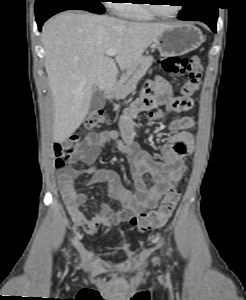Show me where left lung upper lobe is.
I'll use <instances>...</instances> for the list:
<instances>
[{
    "label": "left lung upper lobe",
    "mask_w": 246,
    "mask_h": 300,
    "mask_svg": "<svg viewBox=\"0 0 246 300\" xmlns=\"http://www.w3.org/2000/svg\"><path fill=\"white\" fill-rule=\"evenodd\" d=\"M196 0H187V3H189L188 5L183 6L182 10L187 9L188 7H190ZM213 2V0H211Z\"/></svg>",
    "instance_id": "left-lung-upper-lobe-1"
}]
</instances>
